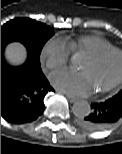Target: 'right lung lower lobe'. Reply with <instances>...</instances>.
Instances as JSON below:
<instances>
[{"mask_svg": "<svg viewBox=\"0 0 122 154\" xmlns=\"http://www.w3.org/2000/svg\"><path fill=\"white\" fill-rule=\"evenodd\" d=\"M3 51L1 47V116L14 124L32 122L43 113L44 98L54 89L29 54L25 64L11 67Z\"/></svg>", "mask_w": 122, "mask_h": 154, "instance_id": "obj_1", "label": "right lung lower lobe"}]
</instances>
